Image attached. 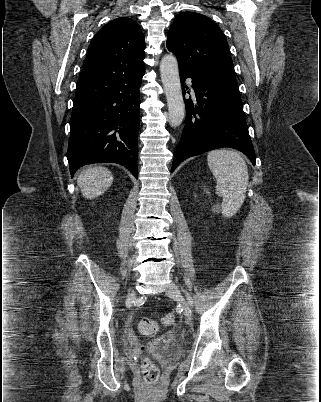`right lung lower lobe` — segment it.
Segmentation results:
<instances>
[{"label":"right lung lower lobe","instance_id":"obj_1","mask_svg":"<svg viewBox=\"0 0 321 402\" xmlns=\"http://www.w3.org/2000/svg\"><path fill=\"white\" fill-rule=\"evenodd\" d=\"M145 70L77 82L67 159L70 172L92 163H118L137 178L139 88Z\"/></svg>","mask_w":321,"mask_h":402}]
</instances>
